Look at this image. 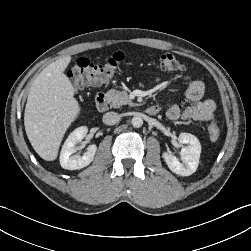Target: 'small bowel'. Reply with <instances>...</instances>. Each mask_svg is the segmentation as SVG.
<instances>
[{
	"label": "small bowel",
	"instance_id": "1",
	"mask_svg": "<svg viewBox=\"0 0 251 251\" xmlns=\"http://www.w3.org/2000/svg\"><path fill=\"white\" fill-rule=\"evenodd\" d=\"M204 92L205 85L202 80L191 81L185 91V96L191 103L183 108L177 104L171 105L166 111V116L172 121L211 120L214 117L215 103L211 99H203Z\"/></svg>",
	"mask_w": 251,
	"mask_h": 251
}]
</instances>
